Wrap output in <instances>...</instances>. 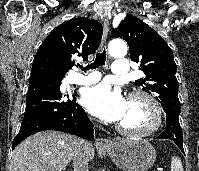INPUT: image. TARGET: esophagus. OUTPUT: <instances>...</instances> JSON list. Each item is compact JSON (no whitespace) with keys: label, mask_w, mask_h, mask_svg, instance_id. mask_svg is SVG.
Instances as JSON below:
<instances>
[{"label":"esophagus","mask_w":199,"mask_h":171,"mask_svg":"<svg viewBox=\"0 0 199 171\" xmlns=\"http://www.w3.org/2000/svg\"><path fill=\"white\" fill-rule=\"evenodd\" d=\"M109 32V21L108 19H104L103 21V37L101 42V48H103L106 44L107 36ZM96 146L98 147H108L112 144L109 139L106 138H97L95 141Z\"/></svg>","instance_id":"34e87169"}]
</instances>
